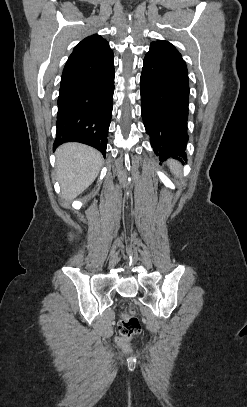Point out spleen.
I'll use <instances>...</instances> for the list:
<instances>
[{"mask_svg": "<svg viewBox=\"0 0 247 407\" xmlns=\"http://www.w3.org/2000/svg\"><path fill=\"white\" fill-rule=\"evenodd\" d=\"M170 169L173 172L175 176H180L181 175V167L176 161H171L170 162Z\"/></svg>", "mask_w": 247, "mask_h": 407, "instance_id": "obj_1", "label": "spleen"}]
</instances>
